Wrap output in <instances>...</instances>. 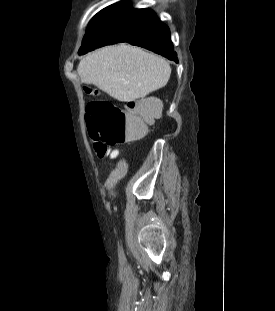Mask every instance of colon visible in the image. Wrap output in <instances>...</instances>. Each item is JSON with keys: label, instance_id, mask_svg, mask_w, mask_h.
<instances>
[{"label": "colon", "instance_id": "obj_1", "mask_svg": "<svg viewBox=\"0 0 275 311\" xmlns=\"http://www.w3.org/2000/svg\"><path fill=\"white\" fill-rule=\"evenodd\" d=\"M159 117L158 107L149 101L130 102L128 110H124L108 101L95 100L87 105L85 114L88 134L99 158L113 156L114 147L142 138L148 125Z\"/></svg>", "mask_w": 275, "mask_h": 311}]
</instances>
